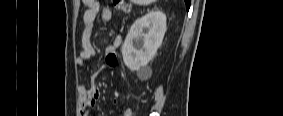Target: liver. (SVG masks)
I'll return each instance as SVG.
<instances>
[{"label":"liver","instance_id":"liver-1","mask_svg":"<svg viewBox=\"0 0 283 116\" xmlns=\"http://www.w3.org/2000/svg\"><path fill=\"white\" fill-rule=\"evenodd\" d=\"M135 2H137L138 4H150L152 2H154V0H135Z\"/></svg>","mask_w":283,"mask_h":116}]
</instances>
